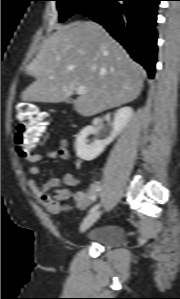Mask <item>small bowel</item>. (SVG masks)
<instances>
[{
    "instance_id": "small-bowel-1",
    "label": "small bowel",
    "mask_w": 180,
    "mask_h": 299,
    "mask_svg": "<svg viewBox=\"0 0 180 299\" xmlns=\"http://www.w3.org/2000/svg\"><path fill=\"white\" fill-rule=\"evenodd\" d=\"M55 132L54 128H49L38 138L35 147H43L46 143L47 138ZM61 159L63 161H68L70 158V153L67 147V141L62 139L60 141V146L57 150H49L42 154H33L25 159L31 163L29 167V172L31 175L35 176L40 173V167L36 164L42 160H54ZM65 183L70 186H77L79 180L76 175L68 173L64 177ZM61 181L57 177H52L45 181L43 185L39 186L33 179L28 180V186L32 193L37 197L40 204L49 213L58 212V204L48 195V192L57 188ZM99 187L98 181H93L87 191H77L72 192L70 189L59 190L55 193L56 198H68L73 197L76 200V205L79 209H84L89 206L95 199L96 191Z\"/></svg>"
}]
</instances>
